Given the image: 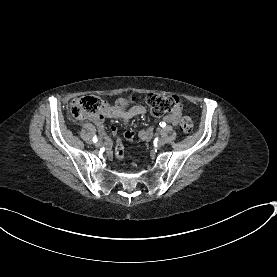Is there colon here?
I'll list each match as a JSON object with an SVG mask.
<instances>
[{
  "mask_svg": "<svg viewBox=\"0 0 277 277\" xmlns=\"http://www.w3.org/2000/svg\"><path fill=\"white\" fill-rule=\"evenodd\" d=\"M145 102L151 113L160 117L169 113L177 112L181 109V103L173 95H163L161 93H149ZM126 98L118 101V106L125 109L129 106ZM72 108H75L80 116L100 115L105 110V103L97 94H88L87 97L81 99H72L70 102ZM181 132L189 134L193 130V122L189 117H182L179 122ZM115 158L122 160L124 158V148L121 143H117L114 149Z\"/></svg>",
  "mask_w": 277,
  "mask_h": 277,
  "instance_id": "colon-1",
  "label": "colon"
}]
</instances>
